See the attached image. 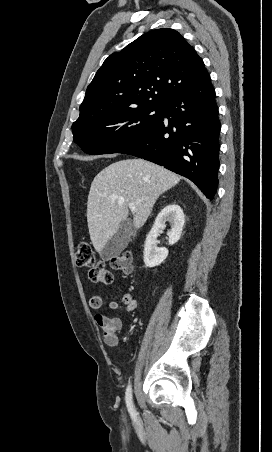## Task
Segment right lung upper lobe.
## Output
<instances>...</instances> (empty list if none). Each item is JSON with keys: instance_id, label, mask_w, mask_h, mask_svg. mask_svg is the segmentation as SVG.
Masks as SVG:
<instances>
[{"instance_id": "right-lung-upper-lobe-1", "label": "right lung upper lobe", "mask_w": 272, "mask_h": 452, "mask_svg": "<svg viewBox=\"0 0 272 452\" xmlns=\"http://www.w3.org/2000/svg\"><path fill=\"white\" fill-rule=\"evenodd\" d=\"M209 79L202 59L177 31L153 30L104 61L77 120L142 105L162 107Z\"/></svg>"}]
</instances>
